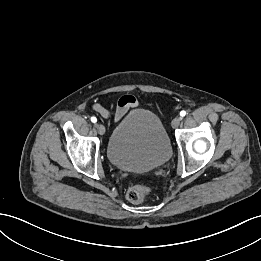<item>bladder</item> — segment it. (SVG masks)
Returning a JSON list of instances; mask_svg holds the SVG:
<instances>
[{
  "instance_id": "obj_1",
  "label": "bladder",
  "mask_w": 261,
  "mask_h": 261,
  "mask_svg": "<svg viewBox=\"0 0 261 261\" xmlns=\"http://www.w3.org/2000/svg\"><path fill=\"white\" fill-rule=\"evenodd\" d=\"M172 146L161 119L152 111L129 112L113 129L107 157L115 167L133 172L148 171L164 165Z\"/></svg>"
}]
</instances>
